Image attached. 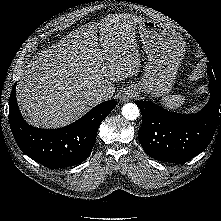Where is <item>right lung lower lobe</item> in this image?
<instances>
[{
  "label": "right lung lower lobe",
  "instance_id": "98d812e1",
  "mask_svg": "<svg viewBox=\"0 0 221 221\" xmlns=\"http://www.w3.org/2000/svg\"><path fill=\"white\" fill-rule=\"evenodd\" d=\"M14 84L9 99V123L19 148L31 159L49 169L83 162L95 144L98 127L116 106L115 100L103 102L76 122L58 129L28 125L19 111Z\"/></svg>",
  "mask_w": 221,
  "mask_h": 221
}]
</instances>
